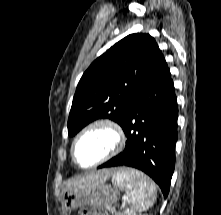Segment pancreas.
<instances>
[{"label": "pancreas", "mask_w": 221, "mask_h": 215, "mask_svg": "<svg viewBox=\"0 0 221 215\" xmlns=\"http://www.w3.org/2000/svg\"><path fill=\"white\" fill-rule=\"evenodd\" d=\"M114 215H135L133 211L126 210L122 213H114Z\"/></svg>", "instance_id": "1"}]
</instances>
